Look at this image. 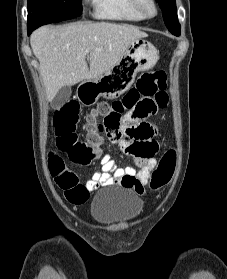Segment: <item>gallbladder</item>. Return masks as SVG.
I'll list each match as a JSON object with an SVG mask.
<instances>
[{"label":"gallbladder","instance_id":"bac80fb5","mask_svg":"<svg viewBox=\"0 0 227 279\" xmlns=\"http://www.w3.org/2000/svg\"><path fill=\"white\" fill-rule=\"evenodd\" d=\"M71 87L70 86H64L57 92L56 96L51 102V106L54 109H60L63 105H65L71 96Z\"/></svg>","mask_w":227,"mask_h":279}]
</instances>
